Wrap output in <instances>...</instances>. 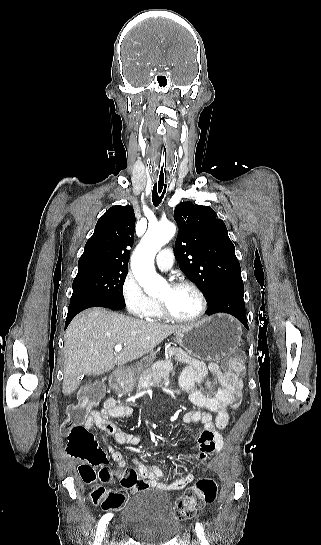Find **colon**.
<instances>
[{
	"label": "colon",
	"mask_w": 321,
	"mask_h": 545,
	"mask_svg": "<svg viewBox=\"0 0 321 545\" xmlns=\"http://www.w3.org/2000/svg\"><path fill=\"white\" fill-rule=\"evenodd\" d=\"M225 373L239 378L243 372V357L240 353L232 351L223 361ZM103 395V387L93 384L85 387L79 393L78 401L72 404L62 424V434L67 439V453L73 457L97 460L101 459L104 452L98 445L93 433L85 426V421L93 408H95ZM92 485L90 498L94 504L100 505L103 510H120L126 503L127 492H138L149 487L148 482L141 478L133 469L126 470L121 479V485L125 491L107 490L96 483L93 478H88ZM217 482L214 478H200L197 483L189 487L184 495L177 499L175 512L180 520L188 519L192 514L211 504L217 497Z\"/></svg>",
	"instance_id": "5ec220e1"
}]
</instances>
